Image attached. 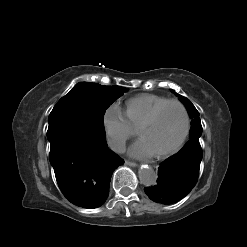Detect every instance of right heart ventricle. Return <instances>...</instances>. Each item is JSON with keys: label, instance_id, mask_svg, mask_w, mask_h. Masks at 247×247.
Listing matches in <instances>:
<instances>
[{"label": "right heart ventricle", "instance_id": "e07e8e85", "mask_svg": "<svg viewBox=\"0 0 247 247\" xmlns=\"http://www.w3.org/2000/svg\"><path fill=\"white\" fill-rule=\"evenodd\" d=\"M169 99L155 94H141L129 99L125 105V117L135 130L160 104Z\"/></svg>", "mask_w": 247, "mask_h": 247}]
</instances>
